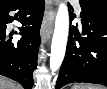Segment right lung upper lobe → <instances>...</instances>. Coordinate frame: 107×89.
Returning a JSON list of instances; mask_svg holds the SVG:
<instances>
[{
  "label": "right lung upper lobe",
  "instance_id": "cb5924a9",
  "mask_svg": "<svg viewBox=\"0 0 107 89\" xmlns=\"http://www.w3.org/2000/svg\"><path fill=\"white\" fill-rule=\"evenodd\" d=\"M7 1H9V0H0V4H4V3H6Z\"/></svg>",
  "mask_w": 107,
  "mask_h": 89
}]
</instances>
